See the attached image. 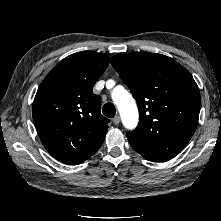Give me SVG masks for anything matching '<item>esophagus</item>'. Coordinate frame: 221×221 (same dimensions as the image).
Returning <instances> with one entry per match:
<instances>
[{
  "mask_svg": "<svg viewBox=\"0 0 221 221\" xmlns=\"http://www.w3.org/2000/svg\"><path fill=\"white\" fill-rule=\"evenodd\" d=\"M113 123L115 124V125H118L119 123H120V117L119 116H116V117H114L113 118Z\"/></svg>",
  "mask_w": 221,
  "mask_h": 221,
  "instance_id": "esophagus-1",
  "label": "esophagus"
}]
</instances>
